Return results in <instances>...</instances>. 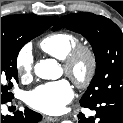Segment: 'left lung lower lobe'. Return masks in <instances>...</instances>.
<instances>
[{
    "label": "left lung lower lobe",
    "instance_id": "1",
    "mask_svg": "<svg viewBox=\"0 0 123 123\" xmlns=\"http://www.w3.org/2000/svg\"><path fill=\"white\" fill-rule=\"evenodd\" d=\"M82 107L96 111L95 117L79 114V123H123V95L103 97L95 102H80Z\"/></svg>",
    "mask_w": 123,
    "mask_h": 123
}]
</instances>
